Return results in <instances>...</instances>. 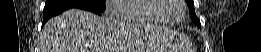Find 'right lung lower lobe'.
I'll list each match as a JSON object with an SVG mask.
<instances>
[{"label": "right lung lower lobe", "instance_id": "98d812e1", "mask_svg": "<svg viewBox=\"0 0 261 52\" xmlns=\"http://www.w3.org/2000/svg\"><path fill=\"white\" fill-rule=\"evenodd\" d=\"M70 8H80V9H83V10H89V11L94 12L96 14H101V12H102V11L94 10V9L84 7V6H81V5L68 4L66 2H63V0L46 2L44 10H43L44 17H43L42 26L52 16L58 15V14L62 13L63 11L70 9Z\"/></svg>", "mask_w": 261, "mask_h": 52}]
</instances>
